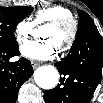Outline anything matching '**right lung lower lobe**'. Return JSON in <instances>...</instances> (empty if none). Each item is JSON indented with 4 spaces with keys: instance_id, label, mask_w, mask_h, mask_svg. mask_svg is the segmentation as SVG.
<instances>
[{
    "instance_id": "right-lung-lower-lobe-1",
    "label": "right lung lower lobe",
    "mask_w": 103,
    "mask_h": 103,
    "mask_svg": "<svg viewBox=\"0 0 103 103\" xmlns=\"http://www.w3.org/2000/svg\"><path fill=\"white\" fill-rule=\"evenodd\" d=\"M19 55V47H0V103H14L21 85L33 73L29 60L21 58L16 62L9 59Z\"/></svg>"
}]
</instances>
